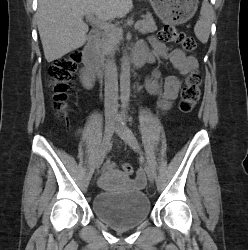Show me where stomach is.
<instances>
[{"label":"stomach","instance_id":"stomach-1","mask_svg":"<svg viewBox=\"0 0 248 250\" xmlns=\"http://www.w3.org/2000/svg\"><path fill=\"white\" fill-rule=\"evenodd\" d=\"M156 15L164 22L179 25L193 17L198 0H150Z\"/></svg>","mask_w":248,"mask_h":250}]
</instances>
